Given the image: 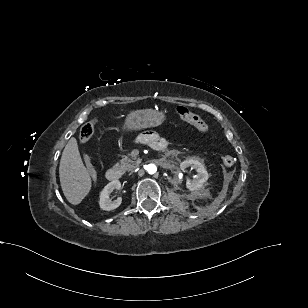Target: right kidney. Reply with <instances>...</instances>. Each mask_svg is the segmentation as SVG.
I'll list each match as a JSON object with an SVG mask.
<instances>
[{
    "label": "right kidney",
    "mask_w": 308,
    "mask_h": 308,
    "mask_svg": "<svg viewBox=\"0 0 308 308\" xmlns=\"http://www.w3.org/2000/svg\"><path fill=\"white\" fill-rule=\"evenodd\" d=\"M121 188V183L119 180H113L110 183H108L103 190L100 192V200L99 205L102 210L110 211L113 209H116L120 206L122 199L121 197L117 198L116 200L112 201L109 196L110 193L117 189L119 190Z\"/></svg>",
    "instance_id": "ca27d5eb"
}]
</instances>
